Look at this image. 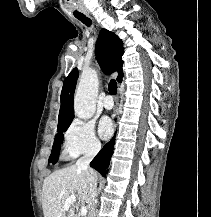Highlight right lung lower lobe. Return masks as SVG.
I'll use <instances>...</instances> for the list:
<instances>
[{"mask_svg": "<svg viewBox=\"0 0 211 217\" xmlns=\"http://www.w3.org/2000/svg\"><path fill=\"white\" fill-rule=\"evenodd\" d=\"M115 139L110 140L103 149L96 155V157L90 163V166L96 169L102 176H106L108 173V166L110 158L113 152Z\"/></svg>", "mask_w": 211, "mask_h": 217, "instance_id": "right-lung-lower-lobe-1", "label": "right lung lower lobe"}]
</instances>
